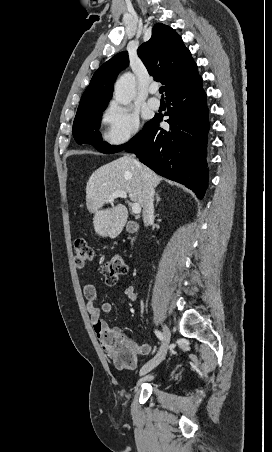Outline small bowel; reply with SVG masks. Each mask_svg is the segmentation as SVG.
Wrapping results in <instances>:
<instances>
[{
	"label": "small bowel",
	"mask_w": 272,
	"mask_h": 452,
	"mask_svg": "<svg viewBox=\"0 0 272 452\" xmlns=\"http://www.w3.org/2000/svg\"><path fill=\"white\" fill-rule=\"evenodd\" d=\"M83 293L86 299V309L90 316L91 323L95 330V333L100 341L101 347L106 351V339L110 336L125 335L119 327H110L102 319V315L108 314L112 310V305L109 302H104L100 306H97V290L93 284H86L83 288ZM124 296L135 302L137 300V294L133 286H128L124 289ZM126 336V335H125ZM127 337V336H126ZM139 355H148L152 351V346L149 343L135 345Z\"/></svg>",
	"instance_id": "small-bowel-1"
}]
</instances>
